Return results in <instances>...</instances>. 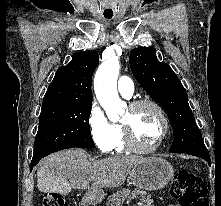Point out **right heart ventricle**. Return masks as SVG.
I'll return each instance as SVG.
<instances>
[{"mask_svg": "<svg viewBox=\"0 0 221 206\" xmlns=\"http://www.w3.org/2000/svg\"><path fill=\"white\" fill-rule=\"evenodd\" d=\"M116 128H117V136L113 149H115L116 152L118 153H122L127 150V147L125 145L123 130L120 125H116Z\"/></svg>", "mask_w": 221, "mask_h": 206, "instance_id": "1", "label": "right heart ventricle"}]
</instances>
